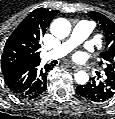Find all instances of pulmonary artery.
<instances>
[{"instance_id":"1","label":"pulmonary artery","mask_w":115,"mask_h":119,"mask_svg":"<svg viewBox=\"0 0 115 119\" xmlns=\"http://www.w3.org/2000/svg\"><path fill=\"white\" fill-rule=\"evenodd\" d=\"M91 30L92 24L90 22H79L75 26L69 39L61 43L54 49L53 56L62 57L71 52L86 40Z\"/></svg>"}]
</instances>
